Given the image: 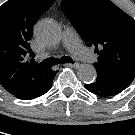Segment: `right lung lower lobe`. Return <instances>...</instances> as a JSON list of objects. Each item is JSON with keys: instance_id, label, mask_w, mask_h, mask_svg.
Here are the masks:
<instances>
[{"instance_id": "98d812e1", "label": "right lung lower lobe", "mask_w": 135, "mask_h": 135, "mask_svg": "<svg viewBox=\"0 0 135 135\" xmlns=\"http://www.w3.org/2000/svg\"><path fill=\"white\" fill-rule=\"evenodd\" d=\"M56 73L57 71H53L51 78L46 83L36 85L35 87H33L32 89L28 91H25L19 94H13V95L18 99L31 100L45 94L46 92L50 90Z\"/></svg>"}]
</instances>
